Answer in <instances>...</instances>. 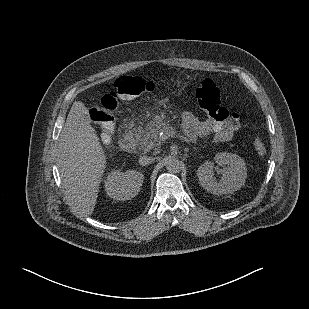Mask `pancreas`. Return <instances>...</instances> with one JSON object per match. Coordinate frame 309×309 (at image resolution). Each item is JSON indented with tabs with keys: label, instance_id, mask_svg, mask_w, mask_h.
Returning a JSON list of instances; mask_svg holds the SVG:
<instances>
[{
	"label": "pancreas",
	"instance_id": "cf45deb5",
	"mask_svg": "<svg viewBox=\"0 0 309 309\" xmlns=\"http://www.w3.org/2000/svg\"><path fill=\"white\" fill-rule=\"evenodd\" d=\"M137 143L145 151L152 149L158 151L162 143V139L159 137V130L150 129L142 131L137 135Z\"/></svg>",
	"mask_w": 309,
	"mask_h": 309
}]
</instances>
